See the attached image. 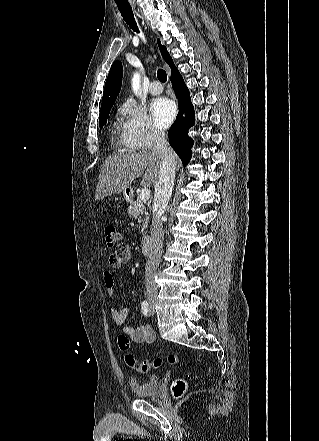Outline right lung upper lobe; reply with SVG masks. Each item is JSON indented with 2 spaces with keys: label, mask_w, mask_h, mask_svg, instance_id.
<instances>
[{
  "label": "right lung upper lobe",
  "mask_w": 319,
  "mask_h": 441,
  "mask_svg": "<svg viewBox=\"0 0 319 441\" xmlns=\"http://www.w3.org/2000/svg\"><path fill=\"white\" fill-rule=\"evenodd\" d=\"M157 42L159 45L161 55L163 56V58L167 62V64L170 66L171 72H172L173 70L176 69V67L172 61V58L170 57L169 53L167 52L166 47L162 46L160 44L159 39L157 40ZM122 76H123L122 63L120 61H116L111 66L110 72L108 74V77H107V80L105 83L101 109H104L107 107H112V105L114 104V102L120 92V89H121Z\"/></svg>",
  "instance_id": "right-lung-upper-lobe-1"
}]
</instances>
